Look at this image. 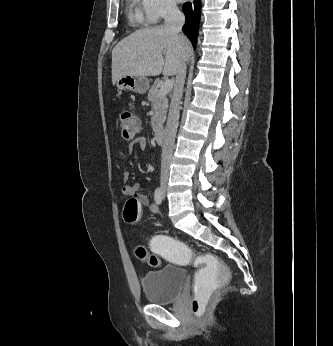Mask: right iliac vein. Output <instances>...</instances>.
Here are the masks:
<instances>
[{
	"label": "right iliac vein",
	"instance_id": "obj_1",
	"mask_svg": "<svg viewBox=\"0 0 333 346\" xmlns=\"http://www.w3.org/2000/svg\"><path fill=\"white\" fill-rule=\"evenodd\" d=\"M167 180H168L167 176H164L161 179V189L164 193L166 192V189H167Z\"/></svg>",
	"mask_w": 333,
	"mask_h": 346
}]
</instances>
